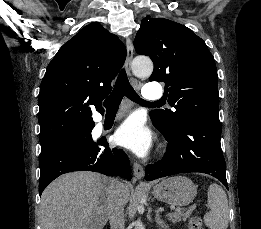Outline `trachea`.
Wrapping results in <instances>:
<instances>
[{
    "mask_svg": "<svg viewBox=\"0 0 261 229\" xmlns=\"http://www.w3.org/2000/svg\"><path fill=\"white\" fill-rule=\"evenodd\" d=\"M123 97H128V99L141 105L152 104V102H146V100L141 99L135 92L129 83L125 70H121L113 91L104 101L103 105L106 108V112L116 113Z\"/></svg>",
    "mask_w": 261,
    "mask_h": 229,
    "instance_id": "1",
    "label": "trachea"
}]
</instances>
